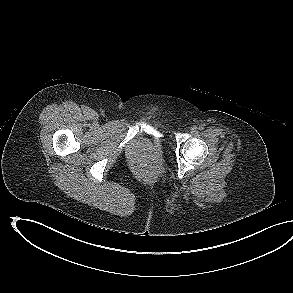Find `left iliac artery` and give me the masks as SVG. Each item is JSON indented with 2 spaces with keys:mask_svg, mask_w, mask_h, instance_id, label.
<instances>
[{
  "mask_svg": "<svg viewBox=\"0 0 293 293\" xmlns=\"http://www.w3.org/2000/svg\"><path fill=\"white\" fill-rule=\"evenodd\" d=\"M198 129H199V130H203L204 127H203L202 125H200Z\"/></svg>",
  "mask_w": 293,
  "mask_h": 293,
  "instance_id": "44dca946",
  "label": "left iliac artery"
}]
</instances>
